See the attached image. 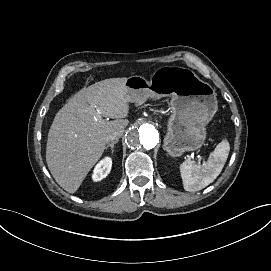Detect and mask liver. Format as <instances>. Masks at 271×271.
I'll return each mask as SVG.
<instances>
[{"mask_svg": "<svg viewBox=\"0 0 271 271\" xmlns=\"http://www.w3.org/2000/svg\"><path fill=\"white\" fill-rule=\"evenodd\" d=\"M127 78L107 79L77 93L56 114L48 133L46 160L56 182L77 192L100 160L107 137L127 126ZM102 117L116 119L105 122Z\"/></svg>", "mask_w": 271, "mask_h": 271, "instance_id": "liver-1", "label": "liver"}]
</instances>
